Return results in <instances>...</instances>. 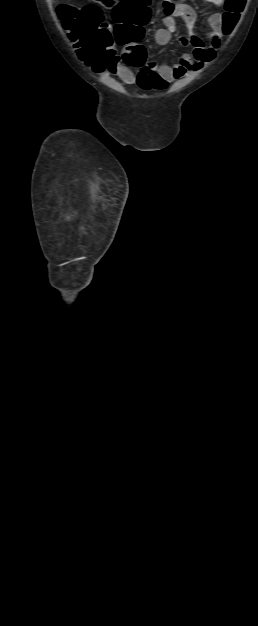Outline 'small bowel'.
I'll return each instance as SVG.
<instances>
[{
  "instance_id": "obj_1",
  "label": "small bowel",
  "mask_w": 258,
  "mask_h": 626,
  "mask_svg": "<svg viewBox=\"0 0 258 626\" xmlns=\"http://www.w3.org/2000/svg\"><path fill=\"white\" fill-rule=\"evenodd\" d=\"M204 1L217 7H223L225 4V0ZM161 9L164 13L163 27L155 32V41L159 45L170 42L172 34L177 30L176 19H181L188 30L192 29L197 19L196 11L186 3L163 0ZM208 23L210 31L207 42L194 34L181 38L184 44L190 46L191 52L184 54L175 65L150 62L139 72H134L118 57L109 63L107 69L125 84L136 85L142 90H164L172 82L200 70L215 59L223 37V14L210 15Z\"/></svg>"
}]
</instances>
